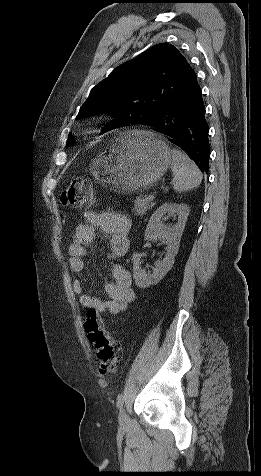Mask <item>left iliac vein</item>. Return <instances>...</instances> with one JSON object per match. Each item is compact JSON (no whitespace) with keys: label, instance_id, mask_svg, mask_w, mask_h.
<instances>
[{"label":"left iliac vein","instance_id":"1","mask_svg":"<svg viewBox=\"0 0 261 476\" xmlns=\"http://www.w3.org/2000/svg\"><path fill=\"white\" fill-rule=\"evenodd\" d=\"M119 422L121 426H127L129 423V417L124 408L120 409L119 412Z\"/></svg>","mask_w":261,"mask_h":476}]
</instances>
